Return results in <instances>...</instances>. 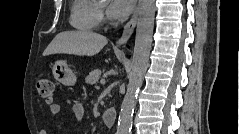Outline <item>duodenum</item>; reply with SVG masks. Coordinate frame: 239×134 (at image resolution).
<instances>
[{"instance_id": "duodenum-1", "label": "duodenum", "mask_w": 239, "mask_h": 134, "mask_svg": "<svg viewBox=\"0 0 239 134\" xmlns=\"http://www.w3.org/2000/svg\"><path fill=\"white\" fill-rule=\"evenodd\" d=\"M103 122L107 127H112L116 121V111L113 107L107 108L103 113Z\"/></svg>"}]
</instances>
